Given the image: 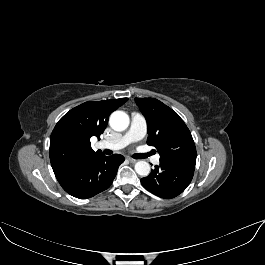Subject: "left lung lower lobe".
<instances>
[{
    "mask_svg": "<svg viewBox=\"0 0 265 265\" xmlns=\"http://www.w3.org/2000/svg\"><path fill=\"white\" fill-rule=\"evenodd\" d=\"M196 160L160 161L151 173L141 179L145 189L161 198L181 194L193 178Z\"/></svg>",
    "mask_w": 265,
    "mask_h": 265,
    "instance_id": "left-lung-lower-lobe-1",
    "label": "left lung lower lobe"
}]
</instances>
